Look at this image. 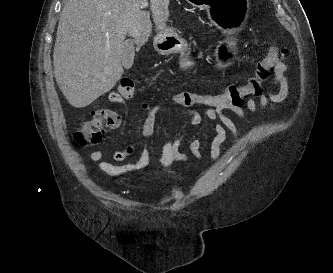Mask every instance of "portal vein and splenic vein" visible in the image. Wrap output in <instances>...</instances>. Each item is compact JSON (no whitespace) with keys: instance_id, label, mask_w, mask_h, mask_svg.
Returning <instances> with one entry per match:
<instances>
[{"instance_id":"portal-vein-and-splenic-vein-1","label":"portal vein and splenic vein","mask_w":333,"mask_h":273,"mask_svg":"<svg viewBox=\"0 0 333 273\" xmlns=\"http://www.w3.org/2000/svg\"><path fill=\"white\" fill-rule=\"evenodd\" d=\"M146 7H148V2L147 0H144L141 2V8H146Z\"/></svg>"}]
</instances>
